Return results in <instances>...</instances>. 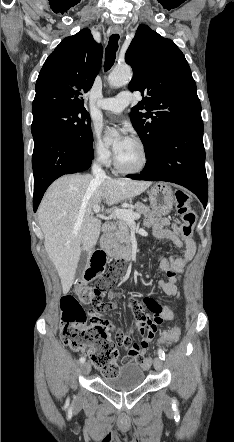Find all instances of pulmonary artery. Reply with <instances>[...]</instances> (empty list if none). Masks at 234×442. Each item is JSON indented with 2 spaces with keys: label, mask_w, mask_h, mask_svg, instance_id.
Here are the masks:
<instances>
[{
  "label": "pulmonary artery",
  "mask_w": 234,
  "mask_h": 442,
  "mask_svg": "<svg viewBox=\"0 0 234 442\" xmlns=\"http://www.w3.org/2000/svg\"><path fill=\"white\" fill-rule=\"evenodd\" d=\"M132 100V96L129 92H121L116 97L99 100L97 105L105 111L120 113L132 102Z\"/></svg>",
  "instance_id": "obj_1"
}]
</instances>
